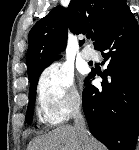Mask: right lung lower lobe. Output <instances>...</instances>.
Returning <instances> with one entry per match:
<instances>
[{"mask_svg":"<svg viewBox=\"0 0 139 150\" xmlns=\"http://www.w3.org/2000/svg\"><path fill=\"white\" fill-rule=\"evenodd\" d=\"M95 49L102 52L107 69L101 89L89 83L83 90L90 132L109 150H134L139 132V27L130 9ZM94 76L91 72L87 81Z\"/></svg>","mask_w":139,"mask_h":150,"instance_id":"1","label":"right lung lower lobe"}]
</instances>
